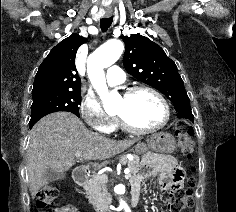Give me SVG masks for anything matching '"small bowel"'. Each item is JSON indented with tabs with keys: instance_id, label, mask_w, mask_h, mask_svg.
Masks as SVG:
<instances>
[{
	"instance_id": "1",
	"label": "small bowel",
	"mask_w": 236,
	"mask_h": 212,
	"mask_svg": "<svg viewBox=\"0 0 236 212\" xmlns=\"http://www.w3.org/2000/svg\"><path fill=\"white\" fill-rule=\"evenodd\" d=\"M158 175L161 178V183L166 189L172 183L181 184L182 173L176 166L175 160L162 154H154L147 158L142 171L132 182V190H139L141 182L149 176ZM61 212H77L73 206H64Z\"/></svg>"
}]
</instances>
